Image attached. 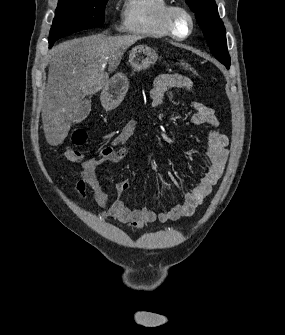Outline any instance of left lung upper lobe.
I'll return each mask as SVG.
<instances>
[{"label": "left lung upper lobe", "mask_w": 285, "mask_h": 335, "mask_svg": "<svg viewBox=\"0 0 285 335\" xmlns=\"http://www.w3.org/2000/svg\"><path fill=\"white\" fill-rule=\"evenodd\" d=\"M195 12L196 20L203 31L210 51L227 68L230 56L227 50L225 27L221 21L215 0H186Z\"/></svg>", "instance_id": "1"}]
</instances>
